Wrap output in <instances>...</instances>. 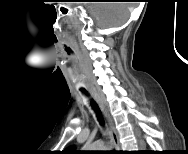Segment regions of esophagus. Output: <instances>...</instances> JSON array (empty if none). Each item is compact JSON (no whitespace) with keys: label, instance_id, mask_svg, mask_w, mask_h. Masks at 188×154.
<instances>
[{"label":"esophagus","instance_id":"1","mask_svg":"<svg viewBox=\"0 0 188 154\" xmlns=\"http://www.w3.org/2000/svg\"><path fill=\"white\" fill-rule=\"evenodd\" d=\"M91 93H92L94 99L97 101V103L99 104L100 108L105 113V115H106V117L108 119L112 142H113V144L115 146L116 152H120L121 151V145H120V142H119V135H118V132H117L115 126L113 125L112 121L110 120L109 116L107 115L104 102H103L102 98L100 97V95L98 94L97 91L92 90Z\"/></svg>","mask_w":188,"mask_h":154}]
</instances>
